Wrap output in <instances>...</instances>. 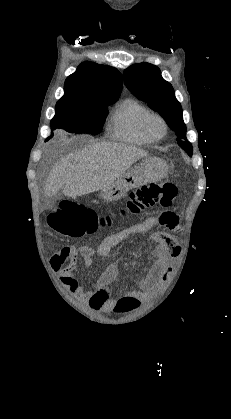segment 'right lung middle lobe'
<instances>
[{"instance_id": "1", "label": "right lung middle lobe", "mask_w": 231, "mask_h": 419, "mask_svg": "<svg viewBox=\"0 0 231 419\" xmlns=\"http://www.w3.org/2000/svg\"><path fill=\"white\" fill-rule=\"evenodd\" d=\"M116 100L60 99L56 104L55 116L51 120V128L52 130L62 128L75 134L97 135L102 131L108 113L107 106ZM52 135L53 132L49 138Z\"/></svg>"}]
</instances>
